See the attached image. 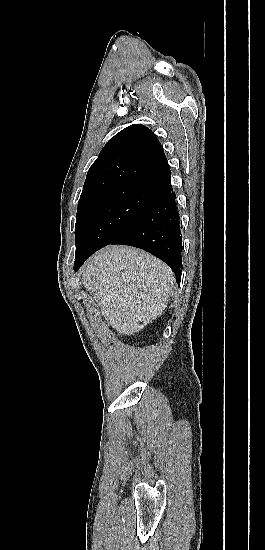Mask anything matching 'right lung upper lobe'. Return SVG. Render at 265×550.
I'll return each mask as SVG.
<instances>
[{
    "label": "right lung upper lobe",
    "instance_id": "cb5924a9",
    "mask_svg": "<svg viewBox=\"0 0 265 550\" xmlns=\"http://www.w3.org/2000/svg\"><path fill=\"white\" fill-rule=\"evenodd\" d=\"M171 175L154 133L134 124L111 138L88 170L80 201L131 186H161Z\"/></svg>",
    "mask_w": 265,
    "mask_h": 550
}]
</instances>
